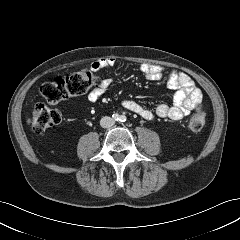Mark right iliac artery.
Masks as SVG:
<instances>
[{
	"mask_svg": "<svg viewBox=\"0 0 240 240\" xmlns=\"http://www.w3.org/2000/svg\"><path fill=\"white\" fill-rule=\"evenodd\" d=\"M113 118L118 121L119 120V115L118 114H113Z\"/></svg>",
	"mask_w": 240,
	"mask_h": 240,
	"instance_id": "82829eb1",
	"label": "right iliac artery"
}]
</instances>
